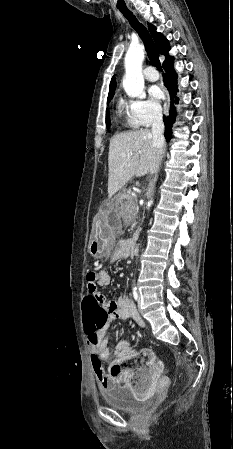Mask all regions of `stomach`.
I'll return each instance as SVG.
<instances>
[{"instance_id":"1","label":"stomach","mask_w":233,"mask_h":449,"mask_svg":"<svg viewBox=\"0 0 233 449\" xmlns=\"http://www.w3.org/2000/svg\"><path fill=\"white\" fill-rule=\"evenodd\" d=\"M121 195L115 196L111 201H100L99 209L104 212H96L97 239L91 242L89 252L93 257H110L115 251V240L111 236L113 227L118 226L120 220Z\"/></svg>"}]
</instances>
